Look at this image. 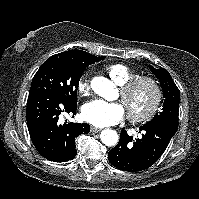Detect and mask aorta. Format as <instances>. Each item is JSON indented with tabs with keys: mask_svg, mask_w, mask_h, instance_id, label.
<instances>
[{
	"mask_svg": "<svg viewBox=\"0 0 199 199\" xmlns=\"http://www.w3.org/2000/svg\"><path fill=\"white\" fill-rule=\"evenodd\" d=\"M91 87L96 94L107 99L112 100L115 93V85L112 81L105 77H95L91 81ZM100 139L106 146H114L118 143V134L111 129H105L100 134Z\"/></svg>",
	"mask_w": 199,
	"mask_h": 199,
	"instance_id": "aorta-1",
	"label": "aorta"
}]
</instances>
